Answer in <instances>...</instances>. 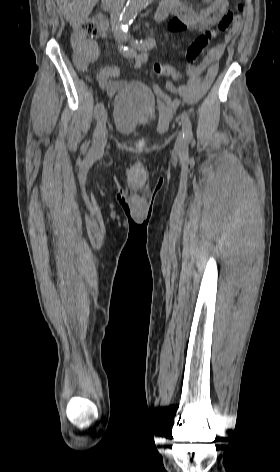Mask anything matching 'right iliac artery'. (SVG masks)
Wrapping results in <instances>:
<instances>
[{"label": "right iliac artery", "instance_id": "82829eb1", "mask_svg": "<svg viewBox=\"0 0 280 472\" xmlns=\"http://www.w3.org/2000/svg\"><path fill=\"white\" fill-rule=\"evenodd\" d=\"M119 48H120V52H122V54L127 57V58H133L135 55H136V51L134 48H130V47H123L122 45H119ZM111 74V68L109 67H105L99 74L98 76V80H99V85L102 89L105 88V86L107 85V80L109 78ZM104 108V104L103 102H98L95 106V109H94V115L96 118L99 117L100 113L102 112ZM88 146V142L85 143V147Z\"/></svg>", "mask_w": 280, "mask_h": 472}]
</instances>
